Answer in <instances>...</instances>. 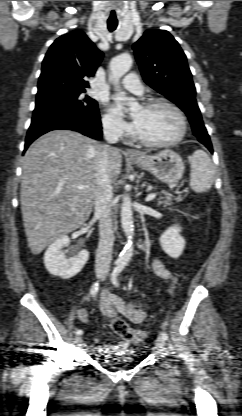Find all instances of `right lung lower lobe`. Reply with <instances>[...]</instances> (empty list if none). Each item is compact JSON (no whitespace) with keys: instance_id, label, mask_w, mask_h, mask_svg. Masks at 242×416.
Wrapping results in <instances>:
<instances>
[{"instance_id":"98d812e1","label":"right lung lower lobe","mask_w":242,"mask_h":416,"mask_svg":"<svg viewBox=\"0 0 242 416\" xmlns=\"http://www.w3.org/2000/svg\"><path fill=\"white\" fill-rule=\"evenodd\" d=\"M56 129L78 131L94 139L102 136L99 112L91 116L80 117L67 111L57 109L46 110L33 115L31 125L27 132L24 151H26L28 146L36 138L48 131Z\"/></svg>"}]
</instances>
